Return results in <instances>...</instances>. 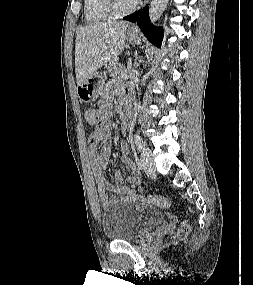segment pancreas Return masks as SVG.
<instances>
[{
  "instance_id": "cf45deb5",
  "label": "pancreas",
  "mask_w": 253,
  "mask_h": 285,
  "mask_svg": "<svg viewBox=\"0 0 253 285\" xmlns=\"http://www.w3.org/2000/svg\"><path fill=\"white\" fill-rule=\"evenodd\" d=\"M125 71V67L116 61L111 62L107 68V73L112 77H121V74Z\"/></svg>"
}]
</instances>
